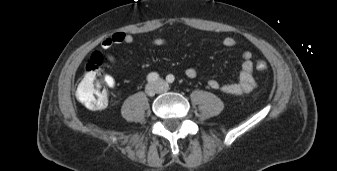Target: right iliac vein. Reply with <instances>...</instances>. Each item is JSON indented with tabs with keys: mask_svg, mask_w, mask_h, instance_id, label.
Instances as JSON below:
<instances>
[{
	"mask_svg": "<svg viewBox=\"0 0 337 171\" xmlns=\"http://www.w3.org/2000/svg\"><path fill=\"white\" fill-rule=\"evenodd\" d=\"M145 92L148 96H154L159 92V87L156 84H148L145 88Z\"/></svg>",
	"mask_w": 337,
	"mask_h": 171,
	"instance_id": "right-iliac-vein-1",
	"label": "right iliac vein"
}]
</instances>
